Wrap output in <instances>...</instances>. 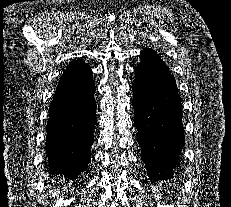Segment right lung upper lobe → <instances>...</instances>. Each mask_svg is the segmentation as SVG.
Instances as JSON below:
<instances>
[{
  "label": "right lung upper lobe",
  "mask_w": 231,
  "mask_h": 207,
  "mask_svg": "<svg viewBox=\"0 0 231 207\" xmlns=\"http://www.w3.org/2000/svg\"><path fill=\"white\" fill-rule=\"evenodd\" d=\"M80 60H78V61H74V63L73 64H71V65H74L76 62H79Z\"/></svg>",
  "instance_id": "obj_1"
}]
</instances>
